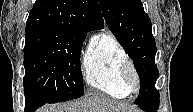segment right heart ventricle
<instances>
[{"mask_svg": "<svg viewBox=\"0 0 193 112\" xmlns=\"http://www.w3.org/2000/svg\"><path fill=\"white\" fill-rule=\"evenodd\" d=\"M128 55L121 42L110 32L96 34L90 40L82 61L85 83L114 98L130 95L121 73Z\"/></svg>", "mask_w": 193, "mask_h": 112, "instance_id": "right-heart-ventricle-1", "label": "right heart ventricle"}]
</instances>
